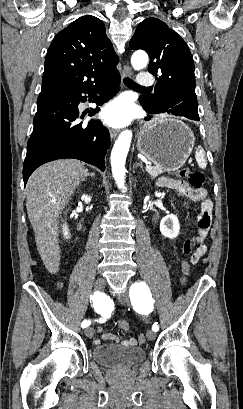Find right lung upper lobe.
<instances>
[{"label": "right lung upper lobe", "instance_id": "1", "mask_svg": "<svg viewBox=\"0 0 243 409\" xmlns=\"http://www.w3.org/2000/svg\"><path fill=\"white\" fill-rule=\"evenodd\" d=\"M117 63L103 22L82 16L54 37L46 54L39 97L97 85L118 73Z\"/></svg>", "mask_w": 243, "mask_h": 409}]
</instances>
